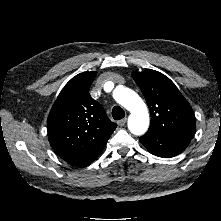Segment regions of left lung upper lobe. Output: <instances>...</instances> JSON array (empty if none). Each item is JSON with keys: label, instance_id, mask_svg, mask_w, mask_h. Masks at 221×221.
<instances>
[{"label": "left lung upper lobe", "instance_id": "obj_1", "mask_svg": "<svg viewBox=\"0 0 221 221\" xmlns=\"http://www.w3.org/2000/svg\"><path fill=\"white\" fill-rule=\"evenodd\" d=\"M132 77L150 109L148 132L166 137L191 138L196 127L195 115L175 84L164 74L151 69L134 72Z\"/></svg>", "mask_w": 221, "mask_h": 221}]
</instances>
